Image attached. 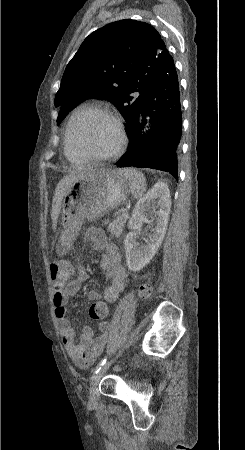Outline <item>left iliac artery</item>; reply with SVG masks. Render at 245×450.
<instances>
[{"mask_svg": "<svg viewBox=\"0 0 245 450\" xmlns=\"http://www.w3.org/2000/svg\"><path fill=\"white\" fill-rule=\"evenodd\" d=\"M106 360H107V356H105V357L98 363V365L96 366V368H95L94 371H93V375L97 374V373L100 371V369L102 368V366L106 363Z\"/></svg>", "mask_w": 245, "mask_h": 450, "instance_id": "obj_1", "label": "left iliac artery"}]
</instances>
